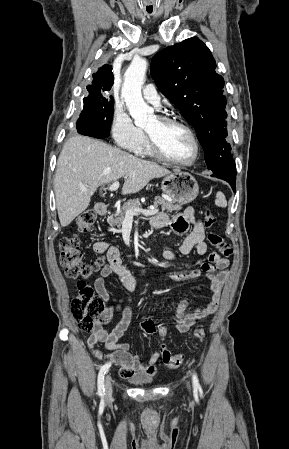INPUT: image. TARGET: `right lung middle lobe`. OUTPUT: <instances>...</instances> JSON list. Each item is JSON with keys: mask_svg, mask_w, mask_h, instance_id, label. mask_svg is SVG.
Segmentation results:
<instances>
[{"mask_svg": "<svg viewBox=\"0 0 289 449\" xmlns=\"http://www.w3.org/2000/svg\"><path fill=\"white\" fill-rule=\"evenodd\" d=\"M83 110L76 126L78 133L95 138L108 137L113 119L114 99L104 94L83 98Z\"/></svg>", "mask_w": 289, "mask_h": 449, "instance_id": "dd1d6c3e", "label": "right lung middle lobe"}]
</instances>
